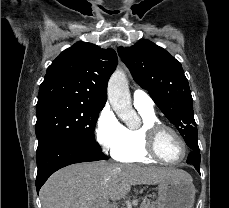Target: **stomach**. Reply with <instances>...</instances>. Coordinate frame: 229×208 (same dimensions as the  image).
Wrapping results in <instances>:
<instances>
[{
    "label": "stomach",
    "instance_id": "stomach-1",
    "mask_svg": "<svg viewBox=\"0 0 229 208\" xmlns=\"http://www.w3.org/2000/svg\"><path fill=\"white\" fill-rule=\"evenodd\" d=\"M195 192L192 178L162 180L157 188V208H192Z\"/></svg>",
    "mask_w": 229,
    "mask_h": 208
}]
</instances>
